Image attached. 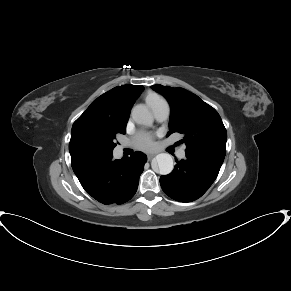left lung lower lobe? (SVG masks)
Listing matches in <instances>:
<instances>
[{
  "label": "left lung lower lobe",
  "instance_id": "left-lung-lower-lobe-1",
  "mask_svg": "<svg viewBox=\"0 0 291 291\" xmlns=\"http://www.w3.org/2000/svg\"><path fill=\"white\" fill-rule=\"evenodd\" d=\"M224 158L186 152L174 170L160 177V184L169 197L180 202H191L201 197L217 178Z\"/></svg>",
  "mask_w": 291,
  "mask_h": 291
}]
</instances>
